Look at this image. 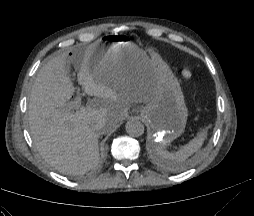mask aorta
<instances>
[{"label":"aorta","mask_w":254,"mask_h":216,"mask_svg":"<svg viewBox=\"0 0 254 216\" xmlns=\"http://www.w3.org/2000/svg\"><path fill=\"white\" fill-rule=\"evenodd\" d=\"M126 132L132 137H139L144 133V125L137 119L129 120L126 125Z\"/></svg>","instance_id":"obj_1"}]
</instances>
